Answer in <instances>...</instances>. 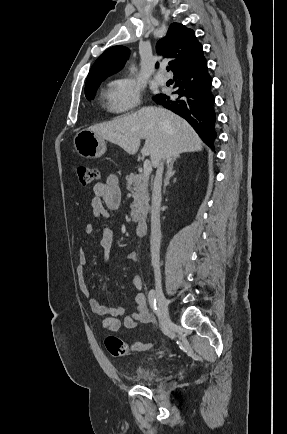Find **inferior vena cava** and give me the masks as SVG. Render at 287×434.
Wrapping results in <instances>:
<instances>
[{"mask_svg":"<svg viewBox=\"0 0 287 434\" xmlns=\"http://www.w3.org/2000/svg\"><path fill=\"white\" fill-rule=\"evenodd\" d=\"M164 170V159L162 158L157 167L153 190H152V206H151V235H150V251H151V263L154 269L155 281L161 282L160 271V242H161V230H160V204H161V186L162 175Z\"/></svg>","mask_w":287,"mask_h":434,"instance_id":"1","label":"inferior vena cava"}]
</instances>
